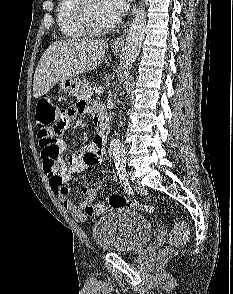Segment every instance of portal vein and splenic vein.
<instances>
[{
	"label": "portal vein and splenic vein",
	"instance_id": "portal-vein-and-splenic-vein-1",
	"mask_svg": "<svg viewBox=\"0 0 233 294\" xmlns=\"http://www.w3.org/2000/svg\"><path fill=\"white\" fill-rule=\"evenodd\" d=\"M102 91H103V87H97L96 89H95V93L96 94H98V95H100L101 93H102Z\"/></svg>",
	"mask_w": 233,
	"mask_h": 294
}]
</instances>
